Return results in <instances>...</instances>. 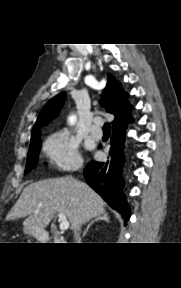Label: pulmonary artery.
I'll use <instances>...</instances> for the list:
<instances>
[{
  "label": "pulmonary artery",
  "instance_id": "e3ab8cb5",
  "mask_svg": "<svg viewBox=\"0 0 181 288\" xmlns=\"http://www.w3.org/2000/svg\"><path fill=\"white\" fill-rule=\"evenodd\" d=\"M90 134L95 139H100L102 137L103 131L100 128V120L98 118H96L94 120V123H93V125L91 126V129H90Z\"/></svg>",
  "mask_w": 181,
  "mask_h": 288
}]
</instances>
